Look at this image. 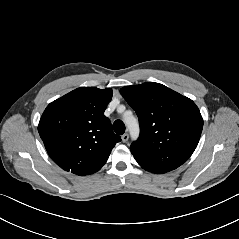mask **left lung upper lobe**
<instances>
[{"instance_id": "obj_1", "label": "left lung upper lobe", "mask_w": 239, "mask_h": 239, "mask_svg": "<svg viewBox=\"0 0 239 239\" xmlns=\"http://www.w3.org/2000/svg\"><path fill=\"white\" fill-rule=\"evenodd\" d=\"M136 111L140 137L130 149L138 164L153 173H166L186 162L196 149L203 119L195 103L154 82L121 88Z\"/></svg>"}]
</instances>
